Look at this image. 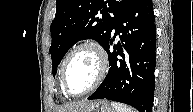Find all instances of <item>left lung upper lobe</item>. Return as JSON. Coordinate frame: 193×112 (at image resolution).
<instances>
[{
    "label": "left lung upper lobe",
    "mask_w": 193,
    "mask_h": 112,
    "mask_svg": "<svg viewBox=\"0 0 193 112\" xmlns=\"http://www.w3.org/2000/svg\"><path fill=\"white\" fill-rule=\"evenodd\" d=\"M133 0H57L50 31L52 73L76 42L95 39L103 48L117 20Z\"/></svg>",
    "instance_id": "left-lung-upper-lobe-1"
}]
</instances>
